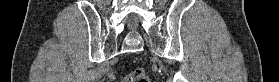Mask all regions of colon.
Masks as SVG:
<instances>
[{"label":"colon","mask_w":279,"mask_h":82,"mask_svg":"<svg viewBox=\"0 0 279 82\" xmlns=\"http://www.w3.org/2000/svg\"><path fill=\"white\" fill-rule=\"evenodd\" d=\"M123 82H149V77L144 68H138L127 74L124 77Z\"/></svg>","instance_id":"obj_1"}]
</instances>
